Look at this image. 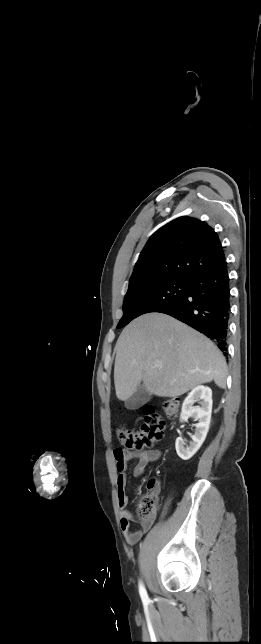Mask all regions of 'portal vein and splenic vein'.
<instances>
[{"mask_svg":"<svg viewBox=\"0 0 261 644\" xmlns=\"http://www.w3.org/2000/svg\"><path fill=\"white\" fill-rule=\"evenodd\" d=\"M155 366H156V367H159V366H160V364H159V363H157Z\"/></svg>","mask_w":261,"mask_h":644,"instance_id":"obj_1","label":"portal vein and splenic vein"}]
</instances>
